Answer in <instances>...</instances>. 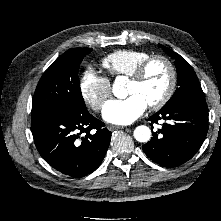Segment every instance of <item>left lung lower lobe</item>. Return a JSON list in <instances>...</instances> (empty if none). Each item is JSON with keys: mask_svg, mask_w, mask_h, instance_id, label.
I'll return each mask as SVG.
<instances>
[{"mask_svg": "<svg viewBox=\"0 0 221 221\" xmlns=\"http://www.w3.org/2000/svg\"><path fill=\"white\" fill-rule=\"evenodd\" d=\"M171 120L153 133L151 140L142 148L154 162L171 168L189 159L201 147L208 131V107L206 102H187L176 107L159 110L149 120Z\"/></svg>", "mask_w": 221, "mask_h": 221, "instance_id": "0a47b994", "label": "left lung lower lobe"}]
</instances>
